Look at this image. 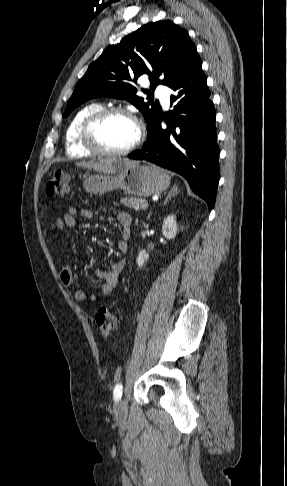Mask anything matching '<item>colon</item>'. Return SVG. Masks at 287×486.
Returning a JSON list of instances; mask_svg holds the SVG:
<instances>
[{"label":"colon","mask_w":287,"mask_h":486,"mask_svg":"<svg viewBox=\"0 0 287 486\" xmlns=\"http://www.w3.org/2000/svg\"><path fill=\"white\" fill-rule=\"evenodd\" d=\"M68 190L67 173L57 170L54 171L45 186V194L49 197L61 196ZM95 321L102 338L107 339L116 328L115 312L106 306L98 307L95 314Z\"/></svg>","instance_id":"5ec220e1"}]
</instances>
